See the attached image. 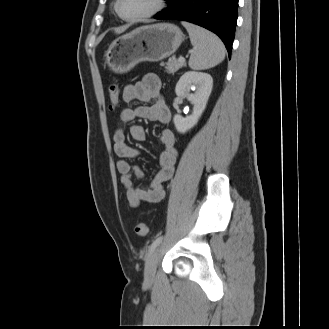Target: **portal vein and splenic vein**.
Here are the masks:
<instances>
[{
	"label": "portal vein and splenic vein",
	"instance_id": "18ae733b",
	"mask_svg": "<svg viewBox=\"0 0 329 329\" xmlns=\"http://www.w3.org/2000/svg\"><path fill=\"white\" fill-rule=\"evenodd\" d=\"M178 60H179V62H185V58L182 56H180Z\"/></svg>",
	"mask_w": 329,
	"mask_h": 329
}]
</instances>
